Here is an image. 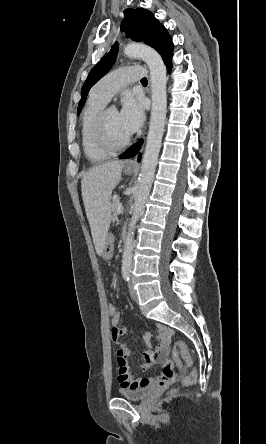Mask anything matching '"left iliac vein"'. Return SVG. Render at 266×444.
<instances>
[{
    "mask_svg": "<svg viewBox=\"0 0 266 444\" xmlns=\"http://www.w3.org/2000/svg\"><path fill=\"white\" fill-rule=\"evenodd\" d=\"M129 291H130L131 298L134 301H137L138 300V295H137V292H136L132 282L129 283Z\"/></svg>",
    "mask_w": 266,
    "mask_h": 444,
    "instance_id": "4c4485c4",
    "label": "left iliac vein"
}]
</instances>
